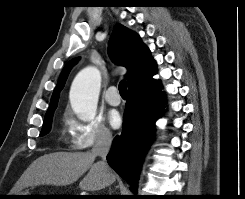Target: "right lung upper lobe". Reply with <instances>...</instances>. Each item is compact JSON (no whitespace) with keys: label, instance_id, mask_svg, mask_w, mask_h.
<instances>
[{"label":"right lung upper lobe","instance_id":"1","mask_svg":"<svg viewBox=\"0 0 245 199\" xmlns=\"http://www.w3.org/2000/svg\"><path fill=\"white\" fill-rule=\"evenodd\" d=\"M108 51L115 63L128 69L126 74L128 90H144L157 82L152 78L156 73V64L150 55L149 49L142 44L138 35L123 25H115L109 41ZM77 61L78 59H72L63 68L45 116L54 113L69 71Z\"/></svg>","mask_w":245,"mask_h":199}]
</instances>
